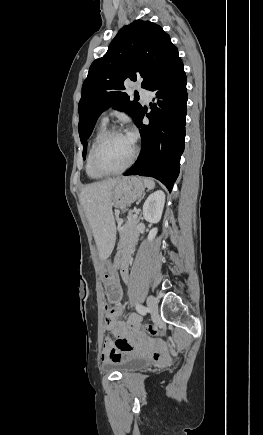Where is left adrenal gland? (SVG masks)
<instances>
[{
  "instance_id": "left-adrenal-gland-1",
  "label": "left adrenal gland",
  "mask_w": 263,
  "mask_h": 435,
  "mask_svg": "<svg viewBox=\"0 0 263 435\" xmlns=\"http://www.w3.org/2000/svg\"><path fill=\"white\" fill-rule=\"evenodd\" d=\"M138 211H139V212H141V210H140V209H138ZM140 217H141V213H140V215H139V218H140Z\"/></svg>"
}]
</instances>
